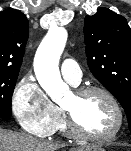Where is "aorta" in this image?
I'll return each instance as SVG.
<instances>
[{"label": "aorta", "instance_id": "762f6f07", "mask_svg": "<svg viewBox=\"0 0 131 151\" xmlns=\"http://www.w3.org/2000/svg\"><path fill=\"white\" fill-rule=\"evenodd\" d=\"M66 40L67 33L64 28H51L41 42L34 59L37 80L54 101H58L66 91L58 68Z\"/></svg>", "mask_w": 131, "mask_h": 151}]
</instances>
